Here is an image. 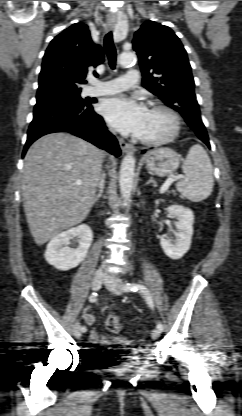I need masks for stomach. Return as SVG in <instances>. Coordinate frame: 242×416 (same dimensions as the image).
Wrapping results in <instances>:
<instances>
[{
    "mask_svg": "<svg viewBox=\"0 0 242 416\" xmlns=\"http://www.w3.org/2000/svg\"><path fill=\"white\" fill-rule=\"evenodd\" d=\"M144 162L148 171L163 177L178 168L180 157L171 148H157L145 156Z\"/></svg>",
    "mask_w": 242,
    "mask_h": 416,
    "instance_id": "1",
    "label": "stomach"
}]
</instances>
